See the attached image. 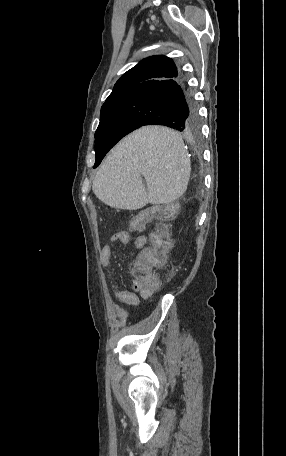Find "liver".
Wrapping results in <instances>:
<instances>
[{"mask_svg": "<svg viewBox=\"0 0 286 456\" xmlns=\"http://www.w3.org/2000/svg\"><path fill=\"white\" fill-rule=\"evenodd\" d=\"M191 163L181 135L167 127H142L108 154L92 190L106 205L127 210L166 204L186 191ZM147 182V189L142 183Z\"/></svg>", "mask_w": 286, "mask_h": 456, "instance_id": "6515ba94", "label": "liver"}]
</instances>
